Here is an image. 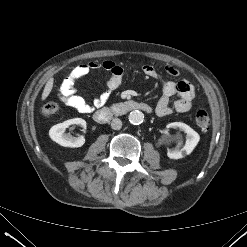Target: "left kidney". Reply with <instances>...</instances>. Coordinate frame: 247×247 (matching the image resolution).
I'll return each mask as SVG.
<instances>
[{
	"mask_svg": "<svg viewBox=\"0 0 247 247\" xmlns=\"http://www.w3.org/2000/svg\"><path fill=\"white\" fill-rule=\"evenodd\" d=\"M168 128H179L180 130L186 133V142L182 149L171 150L168 149L167 155L170 159H181L186 155L191 154L196 145L200 140L199 134L194 131L190 126L182 122H173L170 123Z\"/></svg>",
	"mask_w": 247,
	"mask_h": 247,
	"instance_id": "left-kidney-1",
	"label": "left kidney"
}]
</instances>
